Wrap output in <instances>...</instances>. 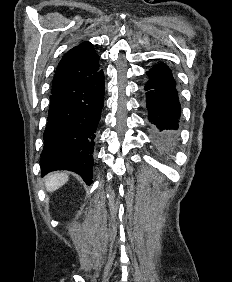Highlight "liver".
Masks as SVG:
<instances>
[{"mask_svg": "<svg viewBox=\"0 0 232 282\" xmlns=\"http://www.w3.org/2000/svg\"><path fill=\"white\" fill-rule=\"evenodd\" d=\"M68 181V175L65 173H51L45 179L47 191H55Z\"/></svg>", "mask_w": 232, "mask_h": 282, "instance_id": "1", "label": "liver"}]
</instances>
